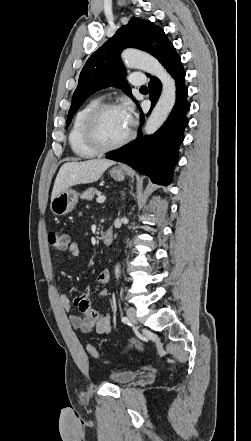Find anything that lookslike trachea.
<instances>
[{
  "instance_id": "1",
  "label": "trachea",
  "mask_w": 251,
  "mask_h": 441,
  "mask_svg": "<svg viewBox=\"0 0 251 441\" xmlns=\"http://www.w3.org/2000/svg\"><path fill=\"white\" fill-rule=\"evenodd\" d=\"M141 89H147V87L146 86H142Z\"/></svg>"
}]
</instances>
